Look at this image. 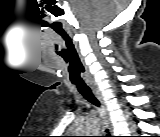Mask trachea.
Listing matches in <instances>:
<instances>
[{"instance_id": "trachea-1", "label": "trachea", "mask_w": 160, "mask_h": 137, "mask_svg": "<svg viewBox=\"0 0 160 137\" xmlns=\"http://www.w3.org/2000/svg\"><path fill=\"white\" fill-rule=\"evenodd\" d=\"M68 48L70 49V53L73 54L74 59L70 61V68L73 70L74 74L71 75L70 79L73 84L77 86V89L79 92L83 95V97L88 100L93 105L100 107L99 101L96 99V97L93 95L91 91H86L83 89H87V85L83 78L81 77V73L84 72V68L82 66V63L80 62V59L78 58V55L76 54V51L71 43H68ZM108 132V130H106ZM102 137H112L109 134Z\"/></svg>"}]
</instances>
